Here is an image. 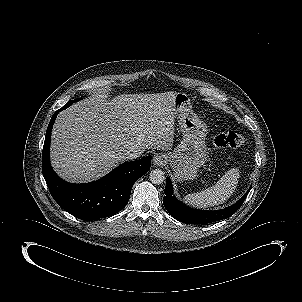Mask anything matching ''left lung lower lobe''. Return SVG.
I'll use <instances>...</instances> for the list:
<instances>
[{"label": "left lung lower lobe", "mask_w": 302, "mask_h": 302, "mask_svg": "<svg viewBox=\"0 0 302 302\" xmlns=\"http://www.w3.org/2000/svg\"><path fill=\"white\" fill-rule=\"evenodd\" d=\"M249 191L250 189L238 202L225 209L217 211L197 210L187 207L172 196V185L170 180L167 179L163 204L171 216L180 222L189 224L212 223L232 216L241 207Z\"/></svg>", "instance_id": "0a47b994"}]
</instances>
